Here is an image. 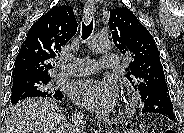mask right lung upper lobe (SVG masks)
<instances>
[{
  "mask_svg": "<svg viewBox=\"0 0 184 133\" xmlns=\"http://www.w3.org/2000/svg\"><path fill=\"white\" fill-rule=\"evenodd\" d=\"M77 21L70 6L53 7L28 31L15 60L12 76L50 75L53 59L77 32Z\"/></svg>",
  "mask_w": 184,
  "mask_h": 133,
  "instance_id": "obj_1",
  "label": "right lung upper lobe"
}]
</instances>
